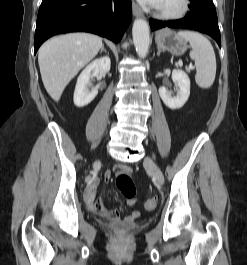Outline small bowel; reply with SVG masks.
<instances>
[{"label":"small bowel","mask_w":247,"mask_h":265,"mask_svg":"<svg viewBox=\"0 0 247 265\" xmlns=\"http://www.w3.org/2000/svg\"><path fill=\"white\" fill-rule=\"evenodd\" d=\"M115 171L118 172H123V173H129L132 171L130 167L127 166H116ZM111 178V172L106 171L104 174V180L105 182H108ZM98 182L94 181L86 190L85 195H84V202L87 208L97 214L98 216L108 219V220H117L120 217V212L121 210L119 209H114V210H109L105 208L104 203H103V197H104V190L100 191L97 193L96 188H97ZM129 205L134 204V200L130 199L128 201ZM139 216L138 211H133L129 218H137Z\"/></svg>","instance_id":"c3829d8e"}]
</instances>
